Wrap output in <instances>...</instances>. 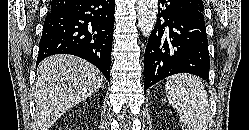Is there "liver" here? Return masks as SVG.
<instances>
[{"label":"liver","instance_id":"obj_1","mask_svg":"<svg viewBox=\"0 0 249 130\" xmlns=\"http://www.w3.org/2000/svg\"><path fill=\"white\" fill-rule=\"evenodd\" d=\"M101 72L72 55L44 59L37 69L34 101L36 123L49 130L66 111L94 94L103 84Z\"/></svg>","mask_w":249,"mask_h":130}]
</instances>
